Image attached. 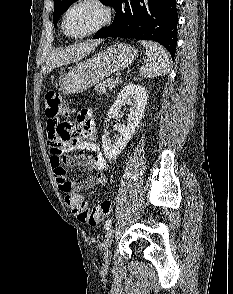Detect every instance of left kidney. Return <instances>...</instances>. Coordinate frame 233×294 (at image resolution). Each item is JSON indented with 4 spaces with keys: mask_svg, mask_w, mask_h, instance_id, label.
<instances>
[{
    "mask_svg": "<svg viewBox=\"0 0 233 294\" xmlns=\"http://www.w3.org/2000/svg\"><path fill=\"white\" fill-rule=\"evenodd\" d=\"M147 99L148 94L141 85L130 83L119 92L107 113L108 118L114 115L120 116V109L125 104L129 105L131 110L125 124L115 125V130L120 134L117 141H110L106 132L102 136L103 153L108 159L116 158L128 144L142 119Z\"/></svg>",
    "mask_w": 233,
    "mask_h": 294,
    "instance_id": "obj_1",
    "label": "left kidney"
}]
</instances>
